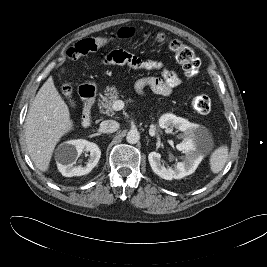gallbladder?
Masks as SVG:
<instances>
[{"label":"gallbladder","instance_id":"gallbladder-1","mask_svg":"<svg viewBox=\"0 0 267 267\" xmlns=\"http://www.w3.org/2000/svg\"><path fill=\"white\" fill-rule=\"evenodd\" d=\"M61 73H65V69H61Z\"/></svg>","mask_w":267,"mask_h":267}]
</instances>
